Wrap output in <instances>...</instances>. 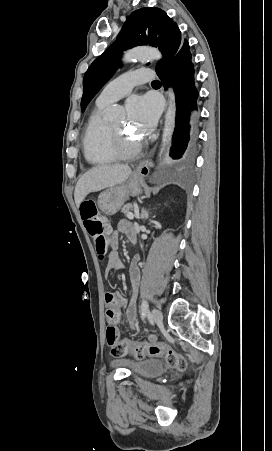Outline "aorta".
<instances>
[{
	"mask_svg": "<svg viewBox=\"0 0 272 451\" xmlns=\"http://www.w3.org/2000/svg\"><path fill=\"white\" fill-rule=\"evenodd\" d=\"M161 58L162 54L159 50H156V48H145V46H141V48H133V50H128V52H125L122 60L125 64H129V62H137V60L142 62V60H161ZM168 98L169 104L165 114L162 150H165V148L169 146L175 128L176 104L175 94L172 88H169L168 90ZM104 118L107 122H115L116 118H120V114L119 112H112V114H106Z\"/></svg>",
	"mask_w": 272,
	"mask_h": 451,
	"instance_id": "obj_1",
	"label": "aorta"
}]
</instances>
